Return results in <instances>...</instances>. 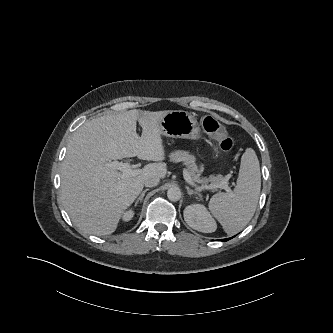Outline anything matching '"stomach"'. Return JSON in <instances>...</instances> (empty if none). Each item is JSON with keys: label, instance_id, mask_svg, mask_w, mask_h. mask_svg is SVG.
<instances>
[{"label": "stomach", "instance_id": "stomach-1", "mask_svg": "<svg viewBox=\"0 0 333 333\" xmlns=\"http://www.w3.org/2000/svg\"><path fill=\"white\" fill-rule=\"evenodd\" d=\"M162 135L199 140L201 138L200 125L194 115L183 110L168 112L160 122Z\"/></svg>", "mask_w": 333, "mask_h": 333}]
</instances>
